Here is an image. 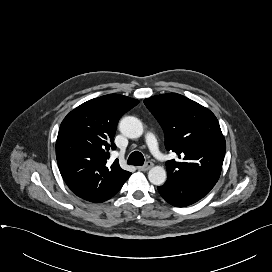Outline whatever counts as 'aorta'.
Segmentation results:
<instances>
[{
  "instance_id": "obj_1",
  "label": "aorta",
  "mask_w": 272,
  "mask_h": 272,
  "mask_svg": "<svg viewBox=\"0 0 272 272\" xmlns=\"http://www.w3.org/2000/svg\"><path fill=\"white\" fill-rule=\"evenodd\" d=\"M120 132L131 139L139 138L143 134L142 122L133 116L124 117L119 123ZM167 174L162 166L152 167L148 172L149 181L157 186L164 184Z\"/></svg>"
}]
</instances>
